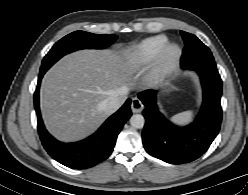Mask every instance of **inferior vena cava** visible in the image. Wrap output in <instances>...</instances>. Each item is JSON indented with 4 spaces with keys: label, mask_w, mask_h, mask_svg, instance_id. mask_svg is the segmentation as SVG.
Segmentation results:
<instances>
[{
    "label": "inferior vena cava",
    "mask_w": 248,
    "mask_h": 195,
    "mask_svg": "<svg viewBox=\"0 0 248 195\" xmlns=\"http://www.w3.org/2000/svg\"><path fill=\"white\" fill-rule=\"evenodd\" d=\"M118 95L109 96L101 101L98 105V108L107 114L115 112L121 106V98L126 95L124 89L118 91Z\"/></svg>",
    "instance_id": "1"
}]
</instances>
